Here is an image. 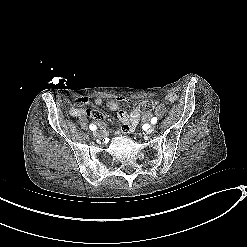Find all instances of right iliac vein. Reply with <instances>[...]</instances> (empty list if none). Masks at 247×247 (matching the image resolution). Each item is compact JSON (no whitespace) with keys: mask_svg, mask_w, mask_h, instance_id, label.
<instances>
[{"mask_svg":"<svg viewBox=\"0 0 247 247\" xmlns=\"http://www.w3.org/2000/svg\"><path fill=\"white\" fill-rule=\"evenodd\" d=\"M93 135H94L95 137H100L99 133L96 132V131L93 132Z\"/></svg>","mask_w":247,"mask_h":247,"instance_id":"1","label":"right iliac vein"}]
</instances>
